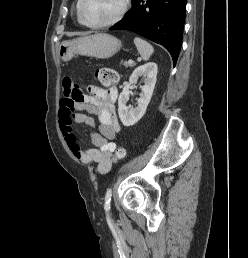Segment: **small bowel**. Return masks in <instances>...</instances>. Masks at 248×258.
<instances>
[{"label": "small bowel", "instance_id": "obj_1", "mask_svg": "<svg viewBox=\"0 0 248 258\" xmlns=\"http://www.w3.org/2000/svg\"><path fill=\"white\" fill-rule=\"evenodd\" d=\"M63 86L64 97L60 102L59 117L65 142L78 161L84 164L95 163L97 173L106 174L113 164L112 155L116 149L113 140L120 130L115 110L118 90L115 87H91V95L77 98L76 85L70 80H64ZM92 115L97 118L98 131ZM75 123H84L91 128L92 148H81L74 132Z\"/></svg>", "mask_w": 248, "mask_h": 258}]
</instances>
